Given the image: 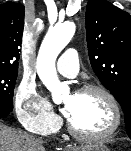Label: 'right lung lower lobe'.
Returning <instances> with one entry per match:
<instances>
[{"label":"right lung lower lobe","mask_w":131,"mask_h":151,"mask_svg":"<svg viewBox=\"0 0 131 151\" xmlns=\"http://www.w3.org/2000/svg\"><path fill=\"white\" fill-rule=\"evenodd\" d=\"M8 114H10V111L0 110V118H1V117H5V116H7Z\"/></svg>","instance_id":"98d812e1"}]
</instances>
